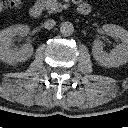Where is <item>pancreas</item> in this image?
<instances>
[{
    "label": "pancreas",
    "mask_w": 128,
    "mask_h": 128,
    "mask_svg": "<svg viewBox=\"0 0 128 128\" xmlns=\"http://www.w3.org/2000/svg\"><path fill=\"white\" fill-rule=\"evenodd\" d=\"M42 3L44 4L48 13L60 12L62 11V9H65L68 7L67 4H62L61 2H58L57 0H42Z\"/></svg>",
    "instance_id": "cf45deb5"
}]
</instances>
